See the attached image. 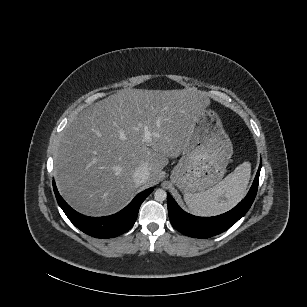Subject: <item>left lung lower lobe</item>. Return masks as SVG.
Segmentation results:
<instances>
[{
    "label": "left lung lower lobe",
    "instance_id": "left-lung-lower-lobe-1",
    "mask_svg": "<svg viewBox=\"0 0 307 307\" xmlns=\"http://www.w3.org/2000/svg\"><path fill=\"white\" fill-rule=\"evenodd\" d=\"M261 163L247 196L232 210L215 217H196L183 211L167 195L168 213L172 226L179 232L195 238H209L220 234L235 224L251 207L258 188Z\"/></svg>",
    "mask_w": 307,
    "mask_h": 307
}]
</instances>
